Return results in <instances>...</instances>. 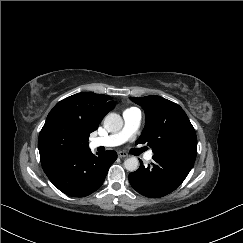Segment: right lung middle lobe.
<instances>
[{
    "mask_svg": "<svg viewBox=\"0 0 243 243\" xmlns=\"http://www.w3.org/2000/svg\"><path fill=\"white\" fill-rule=\"evenodd\" d=\"M89 134L62 112H50L39 134L41 161L76 154L88 147Z\"/></svg>",
    "mask_w": 243,
    "mask_h": 243,
    "instance_id": "obj_1",
    "label": "right lung middle lobe"
}]
</instances>
